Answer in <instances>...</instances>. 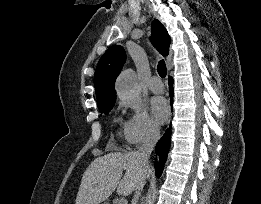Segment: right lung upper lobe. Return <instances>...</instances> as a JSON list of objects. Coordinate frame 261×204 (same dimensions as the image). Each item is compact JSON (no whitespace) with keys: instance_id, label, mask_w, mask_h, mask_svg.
I'll return each instance as SVG.
<instances>
[{"instance_id":"cb5924a9","label":"right lung upper lobe","mask_w":261,"mask_h":204,"mask_svg":"<svg viewBox=\"0 0 261 204\" xmlns=\"http://www.w3.org/2000/svg\"><path fill=\"white\" fill-rule=\"evenodd\" d=\"M152 43L163 55L169 54L170 37L165 27L155 19L152 23ZM126 60L122 46L113 45L101 57L94 75L97 104L101 105L116 100L115 80Z\"/></svg>"}]
</instances>
